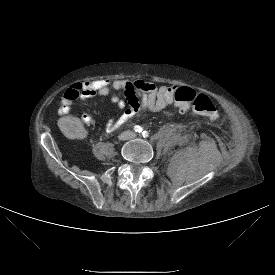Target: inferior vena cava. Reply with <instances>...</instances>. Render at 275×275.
Here are the masks:
<instances>
[{"label": "inferior vena cava", "instance_id": "602c4592", "mask_svg": "<svg viewBox=\"0 0 275 275\" xmlns=\"http://www.w3.org/2000/svg\"><path fill=\"white\" fill-rule=\"evenodd\" d=\"M128 133H129V135L125 137L126 139H130V138L134 137V133H132V132H128Z\"/></svg>", "mask_w": 275, "mask_h": 275}]
</instances>
